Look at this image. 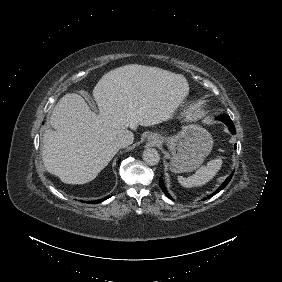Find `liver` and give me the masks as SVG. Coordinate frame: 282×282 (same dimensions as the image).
I'll return each mask as SVG.
<instances>
[{
	"label": "liver",
	"instance_id": "liver-1",
	"mask_svg": "<svg viewBox=\"0 0 282 282\" xmlns=\"http://www.w3.org/2000/svg\"><path fill=\"white\" fill-rule=\"evenodd\" d=\"M188 92L184 75L157 66L126 64L105 72L92 90L97 113L75 93L55 105L54 130L43 134L46 171L68 184L94 180L118 151L116 135L173 119Z\"/></svg>",
	"mask_w": 282,
	"mask_h": 282
}]
</instances>
